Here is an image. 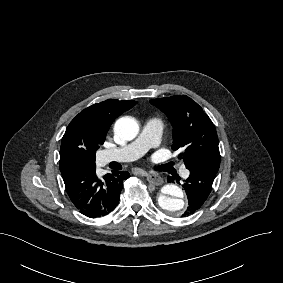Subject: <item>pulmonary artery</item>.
I'll use <instances>...</instances> for the list:
<instances>
[{"instance_id": "1", "label": "pulmonary artery", "mask_w": 283, "mask_h": 283, "mask_svg": "<svg viewBox=\"0 0 283 283\" xmlns=\"http://www.w3.org/2000/svg\"><path fill=\"white\" fill-rule=\"evenodd\" d=\"M163 123L158 118H151L144 124L138 138L128 147L121 146L117 149L116 155L119 159L140 157L147 155L152 146H157L161 141ZM184 177L189 176V171H183Z\"/></svg>"}]
</instances>
